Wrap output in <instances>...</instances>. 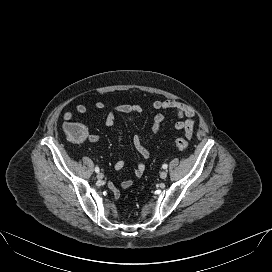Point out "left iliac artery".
Returning <instances> with one entry per match:
<instances>
[{"instance_id":"left-iliac-artery-1","label":"left iliac artery","mask_w":272,"mask_h":272,"mask_svg":"<svg viewBox=\"0 0 272 272\" xmlns=\"http://www.w3.org/2000/svg\"><path fill=\"white\" fill-rule=\"evenodd\" d=\"M167 167H168L167 164H163V165H162V168H163V169H166Z\"/></svg>"}]
</instances>
